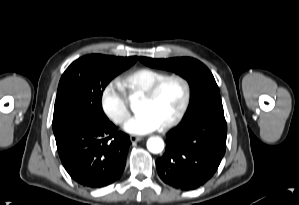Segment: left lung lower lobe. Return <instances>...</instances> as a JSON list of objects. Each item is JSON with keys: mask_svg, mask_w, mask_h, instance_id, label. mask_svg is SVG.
<instances>
[{"mask_svg": "<svg viewBox=\"0 0 299 205\" xmlns=\"http://www.w3.org/2000/svg\"><path fill=\"white\" fill-rule=\"evenodd\" d=\"M167 151L156 161L162 181L192 190L216 172L226 150L227 124L223 111L193 121L182 120L167 135Z\"/></svg>", "mask_w": 299, "mask_h": 205, "instance_id": "obj_1", "label": "left lung lower lobe"}]
</instances>
